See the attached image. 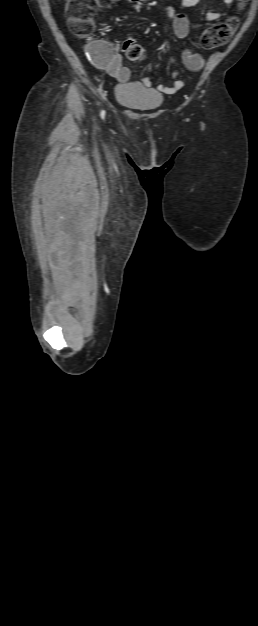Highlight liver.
I'll return each instance as SVG.
<instances>
[{"label": "liver", "mask_w": 258, "mask_h": 626, "mask_svg": "<svg viewBox=\"0 0 258 626\" xmlns=\"http://www.w3.org/2000/svg\"><path fill=\"white\" fill-rule=\"evenodd\" d=\"M47 214H48V211H47V210H45V211H44V216H45V217H47Z\"/></svg>", "instance_id": "liver-1"}]
</instances>
